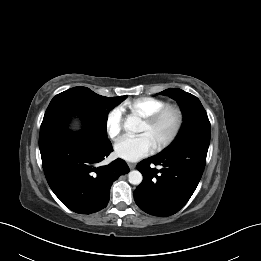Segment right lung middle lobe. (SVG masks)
I'll list each match as a JSON object with an SVG mask.
<instances>
[{"mask_svg": "<svg viewBox=\"0 0 261 261\" xmlns=\"http://www.w3.org/2000/svg\"><path fill=\"white\" fill-rule=\"evenodd\" d=\"M65 92V91H64ZM127 96L105 97L87 87L69 89L60 98L50 102L40 130L66 124L72 116L82 118L85 129L93 135L107 139V118L110 110Z\"/></svg>", "mask_w": 261, "mask_h": 261, "instance_id": "obj_1", "label": "right lung middle lobe"}]
</instances>
